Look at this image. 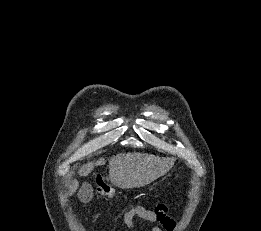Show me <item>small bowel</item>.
<instances>
[{"instance_id":"c3829d8e","label":"small bowel","mask_w":261,"mask_h":231,"mask_svg":"<svg viewBox=\"0 0 261 231\" xmlns=\"http://www.w3.org/2000/svg\"><path fill=\"white\" fill-rule=\"evenodd\" d=\"M136 218L150 222L151 231H162L157 223H161L166 231H173L176 228V221L170 217L165 205H158L154 209H149L142 204L135 205L124 212L116 223H123L128 230H134Z\"/></svg>"}]
</instances>
